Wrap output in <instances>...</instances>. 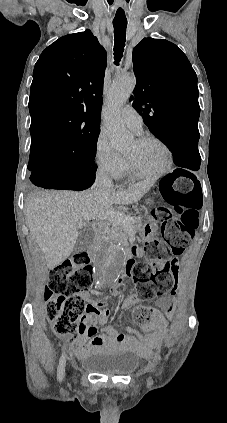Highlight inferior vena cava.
Listing matches in <instances>:
<instances>
[{"instance_id":"1","label":"inferior vena cava","mask_w":227,"mask_h":423,"mask_svg":"<svg viewBox=\"0 0 227 423\" xmlns=\"http://www.w3.org/2000/svg\"><path fill=\"white\" fill-rule=\"evenodd\" d=\"M94 186H97V188H102V190H110V188H113V182L108 176V170L105 168V166H102V164L99 166L96 172Z\"/></svg>"}]
</instances>
